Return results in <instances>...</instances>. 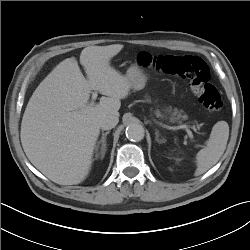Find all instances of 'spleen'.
Segmentation results:
<instances>
[{"label":"spleen","mask_w":250,"mask_h":250,"mask_svg":"<svg viewBox=\"0 0 250 250\" xmlns=\"http://www.w3.org/2000/svg\"><path fill=\"white\" fill-rule=\"evenodd\" d=\"M229 138V126L226 121L217 122L211 131L206 146L196 155L195 176H199L213 167L223 155Z\"/></svg>","instance_id":"obj_1"}]
</instances>
